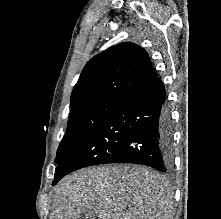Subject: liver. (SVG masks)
<instances>
[{"label":"liver","mask_w":221,"mask_h":219,"mask_svg":"<svg viewBox=\"0 0 221 219\" xmlns=\"http://www.w3.org/2000/svg\"><path fill=\"white\" fill-rule=\"evenodd\" d=\"M52 219H80L93 210L99 219H171L173 194L162 176L147 167H90L64 177L54 188Z\"/></svg>","instance_id":"obj_1"}]
</instances>
